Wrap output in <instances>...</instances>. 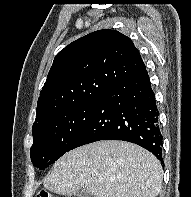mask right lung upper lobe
<instances>
[{
	"label": "right lung upper lobe",
	"instance_id": "cb5924a9",
	"mask_svg": "<svg viewBox=\"0 0 191 197\" xmlns=\"http://www.w3.org/2000/svg\"><path fill=\"white\" fill-rule=\"evenodd\" d=\"M144 69L138 49L118 31L103 29L70 43L54 58L33 126L63 109L98 101L111 85Z\"/></svg>",
	"mask_w": 191,
	"mask_h": 197
}]
</instances>
